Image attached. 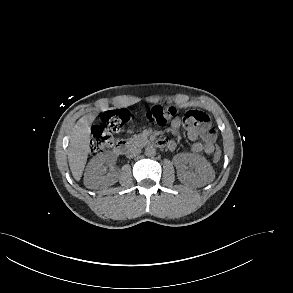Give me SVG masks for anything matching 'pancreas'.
Returning <instances> with one entry per match:
<instances>
[{
  "label": "pancreas",
  "mask_w": 293,
  "mask_h": 293,
  "mask_svg": "<svg viewBox=\"0 0 293 293\" xmlns=\"http://www.w3.org/2000/svg\"><path fill=\"white\" fill-rule=\"evenodd\" d=\"M130 144L141 146L149 142L147 135L138 134L134 135L132 138L128 140Z\"/></svg>",
  "instance_id": "pancreas-1"
}]
</instances>
